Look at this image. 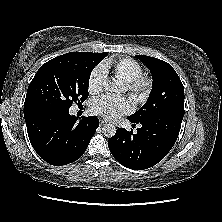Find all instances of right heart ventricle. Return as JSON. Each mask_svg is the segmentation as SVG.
Segmentation results:
<instances>
[{
    "label": "right heart ventricle",
    "instance_id": "obj_1",
    "mask_svg": "<svg viewBox=\"0 0 222 222\" xmlns=\"http://www.w3.org/2000/svg\"><path fill=\"white\" fill-rule=\"evenodd\" d=\"M103 67L112 69L114 76L123 83L132 82L142 74L140 63L131 58L109 59Z\"/></svg>",
    "mask_w": 222,
    "mask_h": 222
}]
</instances>
